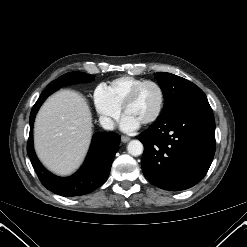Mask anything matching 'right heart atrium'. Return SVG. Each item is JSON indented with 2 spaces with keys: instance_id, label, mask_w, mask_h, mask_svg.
<instances>
[{
  "instance_id": "1",
  "label": "right heart atrium",
  "mask_w": 247,
  "mask_h": 247,
  "mask_svg": "<svg viewBox=\"0 0 247 247\" xmlns=\"http://www.w3.org/2000/svg\"><path fill=\"white\" fill-rule=\"evenodd\" d=\"M94 105L97 113L101 117L103 123L111 127L114 121L118 119L121 108L114 103L107 88L104 85H99L93 95Z\"/></svg>"
}]
</instances>
